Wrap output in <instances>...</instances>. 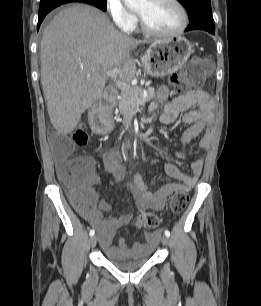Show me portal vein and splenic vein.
<instances>
[{
    "label": "portal vein and splenic vein",
    "mask_w": 261,
    "mask_h": 306,
    "mask_svg": "<svg viewBox=\"0 0 261 306\" xmlns=\"http://www.w3.org/2000/svg\"><path fill=\"white\" fill-rule=\"evenodd\" d=\"M119 73H120V69L114 68V69H111V70L105 72L104 76L106 78H111L121 90H128L130 88V85H128L125 82L117 79ZM139 104H143V103L141 101H139Z\"/></svg>",
    "instance_id": "1"
}]
</instances>
